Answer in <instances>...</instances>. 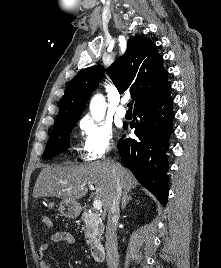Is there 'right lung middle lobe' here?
I'll return each mask as SVG.
<instances>
[{
    "label": "right lung middle lobe",
    "mask_w": 221,
    "mask_h": 268,
    "mask_svg": "<svg viewBox=\"0 0 221 268\" xmlns=\"http://www.w3.org/2000/svg\"><path fill=\"white\" fill-rule=\"evenodd\" d=\"M79 118L56 123L46 144L43 159H49L65 151L70 145V134Z\"/></svg>",
    "instance_id": "right-lung-middle-lobe-1"
}]
</instances>
